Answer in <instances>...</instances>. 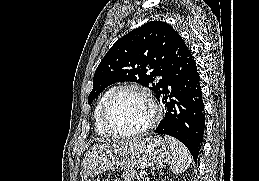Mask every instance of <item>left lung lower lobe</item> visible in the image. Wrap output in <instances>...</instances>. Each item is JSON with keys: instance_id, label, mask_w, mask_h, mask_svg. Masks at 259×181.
<instances>
[{"instance_id": "left-lung-lower-lobe-1", "label": "left lung lower lobe", "mask_w": 259, "mask_h": 181, "mask_svg": "<svg viewBox=\"0 0 259 181\" xmlns=\"http://www.w3.org/2000/svg\"><path fill=\"white\" fill-rule=\"evenodd\" d=\"M157 100L166 111L155 133L181 141L197 161L205 129V112L196 62L179 36L172 49L168 74Z\"/></svg>"}]
</instances>
